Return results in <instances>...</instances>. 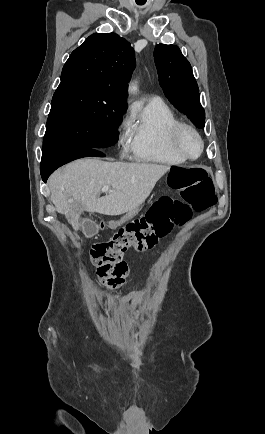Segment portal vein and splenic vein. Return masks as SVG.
Here are the masks:
<instances>
[{
  "mask_svg": "<svg viewBox=\"0 0 265 434\" xmlns=\"http://www.w3.org/2000/svg\"><path fill=\"white\" fill-rule=\"evenodd\" d=\"M110 186H103L101 192H109ZM68 202H74V200H68Z\"/></svg>",
  "mask_w": 265,
  "mask_h": 434,
  "instance_id": "1",
  "label": "portal vein and splenic vein"
}]
</instances>
